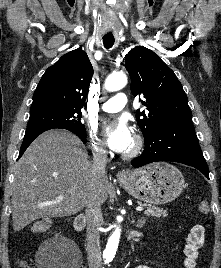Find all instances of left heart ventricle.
Listing matches in <instances>:
<instances>
[{
    "label": "left heart ventricle",
    "instance_id": "b2bd125f",
    "mask_svg": "<svg viewBox=\"0 0 221 268\" xmlns=\"http://www.w3.org/2000/svg\"><path fill=\"white\" fill-rule=\"evenodd\" d=\"M133 146H134V140H133L131 146L129 147V149L126 152L130 151L133 148Z\"/></svg>",
    "mask_w": 221,
    "mask_h": 268
}]
</instances>
